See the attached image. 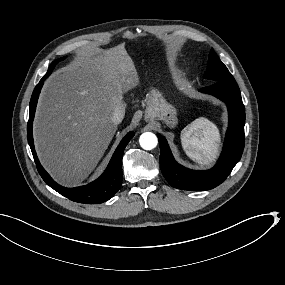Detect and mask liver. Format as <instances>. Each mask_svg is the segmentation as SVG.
Here are the masks:
<instances>
[{
    "mask_svg": "<svg viewBox=\"0 0 285 285\" xmlns=\"http://www.w3.org/2000/svg\"><path fill=\"white\" fill-rule=\"evenodd\" d=\"M134 62L123 44L78 49L77 57L45 81L33 134L38 157L64 186L81 183L108 148L125 112L123 94L137 86Z\"/></svg>",
    "mask_w": 285,
    "mask_h": 285,
    "instance_id": "1",
    "label": "liver"
}]
</instances>
